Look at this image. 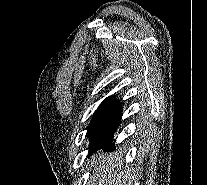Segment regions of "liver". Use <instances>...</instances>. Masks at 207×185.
Here are the masks:
<instances>
[{
    "label": "liver",
    "instance_id": "obj_1",
    "mask_svg": "<svg viewBox=\"0 0 207 185\" xmlns=\"http://www.w3.org/2000/svg\"><path fill=\"white\" fill-rule=\"evenodd\" d=\"M124 157L118 151L100 153L92 163L94 171L87 185H133V167L125 165Z\"/></svg>",
    "mask_w": 207,
    "mask_h": 185
}]
</instances>
